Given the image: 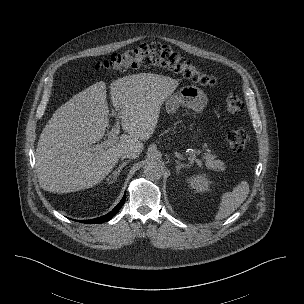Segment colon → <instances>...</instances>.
Wrapping results in <instances>:
<instances>
[{
	"label": "colon",
	"instance_id": "5ec220e1",
	"mask_svg": "<svg viewBox=\"0 0 304 304\" xmlns=\"http://www.w3.org/2000/svg\"><path fill=\"white\" fill-rule=\"evenodd\" d=\"M157 65L165 67L184 78L204 86L217 83L216 77L186 60L170 47L160 43H145L139 47L121 54H114L109 59L99 63L97 70L107 76L124 72L129 69ZM244 107L242 99L235 93L229 94L224 103V110L228 114H237ZM227 143L235 153L242 152L248 141V134L243 127H236L227 133Z\"/></svg>",
	"mask_w": 304,
	"mask_h": 304
}]
</instances>
